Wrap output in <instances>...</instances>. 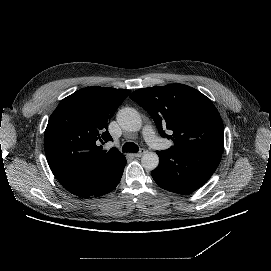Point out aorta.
Returning <instances> with one entry per match:
<instances>
[{
    "label": "aorta",
    "mask_w": 271,
    "mask_h": 271,
    "mask_svg": "<svg viewBox=\"0 0 271 271\" xmlns=\"http://www.w3.org/2000/svg\"><path fill=\"white\" fill-rule=\"evenodd\" d=\"M116 120L122 129L136 132L141 129L142 120L139 112L130 107L118 111ZM141 165L147 171L156 169L159 165V157L155 152H147L141 157Z\"/></svg>",
    "instance_id": "1"
}]
</instances>
